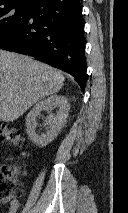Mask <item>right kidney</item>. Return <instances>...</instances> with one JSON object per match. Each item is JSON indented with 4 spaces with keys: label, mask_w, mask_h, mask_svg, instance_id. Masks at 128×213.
Segmentation results:
<instances>
[{
    "label": "right kidney",
    "mask_w": 128,
    "mask_h": 213,
    "mask_svg": "<svg viewBox=\"0 0 128 213\" xmlns=\"http://www.w3.org/2000/svg\"><path fill=\"white\" fill-rule=\"evenodd\" d=\"M59 108L56 115L52 110ZM70 104L66 97L62 95H51L50 97L37 102L26 116V132L30 140L39 147H45L52 142L66 123ZM42 111H48L50 114L44 122L46 133H37V118Z\"/></svg>",
    "instance_id": "ca27d5eb"
}]
</instances>
